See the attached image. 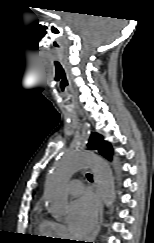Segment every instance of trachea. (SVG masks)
Wrapping results in <instances>:
<instances>
[{
  "label": "trachea",
  "mask_w": 154,
  "mask_h": 243,
  "mask_svg": "<svg viewBox=\"0 0 154 243\" xmlns=\"http://www.w3.org/2000/svg\"><path fill=\"white\" fill-rule=\"evenodd\" d=\"M87 178H88V180H89L90 182L93 181V176H92L91 174H87Z\"/></svg>",
  "instance_id": "obj_1"
}]
</instances>
